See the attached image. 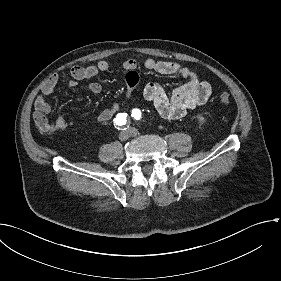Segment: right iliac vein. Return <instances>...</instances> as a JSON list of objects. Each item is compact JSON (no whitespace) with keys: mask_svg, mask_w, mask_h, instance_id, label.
<instances>
[{"mask_svg":"<svg viewBox=\"0 0 281 281\" xmlns=\"http://www.w3.org/2000/svg\"><path fill=\"white\" fill-rule=\"evenodd\" d=\"M128 137H129V130H123V131H121L120 134H119V139H120L121 141L127 140Z\"/></svg>","mask_w":281,"mask_h":281,"instance_id":"63e3f726","label":"right iliac vein"}]
</instances>
